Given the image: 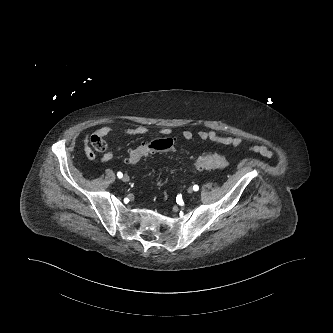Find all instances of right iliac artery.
Returning a JSON list of instances; mask_svg holds the SVG:
<instances>
[{
	"label": "right iliac artery",
	"instance_id": "82829eb1",
	"mask_svg": "<svg viewBox=\"0 0 333 333\" xmlns=\"http://www.w3.org/2000/svg\"><path fill=\"white\" fill-rule=\"evenodd\" d=\"M117 176H118V178H122V177H123V174H122L121 172H118V173H117Z\"/></svg>",
	"mask_w": 333,
	"mask_h": 333
}]
</instances>
